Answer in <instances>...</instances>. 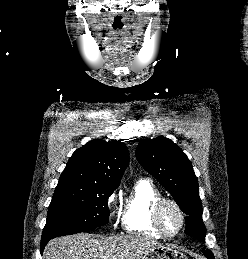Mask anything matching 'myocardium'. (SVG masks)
Returning a JSON list of instances; mask_svg holds the SVG:
<instances>
[{"label": "myocardium", "instance_id": "myocardium-1", "mask_svg": "<svg viewBox=\"0 0 248 259\" xmlns=\"http://www.w3.org/2000/svg\"><path fill=\"white\" fill-rule=\"evenodd\" d=\"M166 204H170V205L174 206L176 208V210L178 211V213L180 215V219H181L180 227H179L178 231L173 234L168 233L165 230V228L163 227L162 221H161V211H162V208ZM151 217H152V222H153L155 228L158 230V232L162 236L167 237V238H173V237H176L177 235H179L182 232V230L184 229L185 223H186L185 212L182 209L181 205L174 199L167 198V197H161L154 203L153 208H152Z\"/></svg>", "mask_w": 248, "mask_h": 259}]
</instances>
